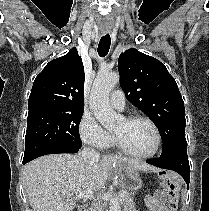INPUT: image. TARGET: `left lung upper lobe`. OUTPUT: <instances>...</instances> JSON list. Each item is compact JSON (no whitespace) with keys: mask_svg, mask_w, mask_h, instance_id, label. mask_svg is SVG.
Instances as JSON below:
<instances>
[{"mask_svg":"<svg viewBox=\"0 0 209 211\" xmlns=\"http://www.w3.org/2000/svg\"><path fill=\"white\" fill-rule=\"evenodd\" d=\"M118 70L128 101L157 125L163 141L161 156L187 148L184 102L165 65L136 49H129L119 56Z\"/></svg>","mask_w":209,"mask_h":211,"instance_id":"left-lung-upper-lobe-1","label":"left lung upper lobe"}]
</instances>
